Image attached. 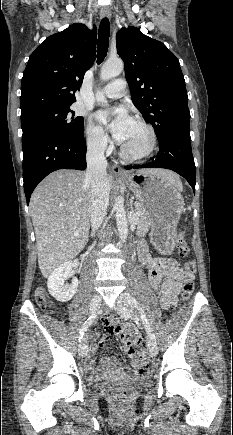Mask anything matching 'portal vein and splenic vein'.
Returning <instances> with one entry per match:
<instances>
[{
  "label": "portal vein and splenic vein",
  "instance_id": "obj_1",
  "mask_svg": "<svg viewBox=\"0 0 233 435\" xmlns=\"http://www.w3.org/2000/svg\"><path fill=\"white\" fill-rule=\"evenodd\" d=\"M139 215H140V213H139L138 211H136V213H135V217L137 218ZM74 236H79V233H78V232H75V233H74Z\"/></svg>",
  "mask_w": 233,
  "mask_h": 435
}]
</instances>
